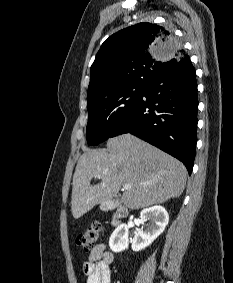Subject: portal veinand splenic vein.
I'll return each mask as SVG.
<instances>
[{
    "label": "portal vein and splenic vein",
    "mask_w": 233,
    "mask_h": 283,
    "mask_svg": "<svg viewBox=\"0 0 233 283\" xmlns=\"http://www.w3.org/2000/svg\"><path fill=\"white\" fill-rule=\"evenodd\" d=\"M97 177L100 178V175H97ZM130 187H131L130 184H124V185H123V188H124V189H129Z\"/></svg>",
    "instance_id": "1"
}]
</instances>
